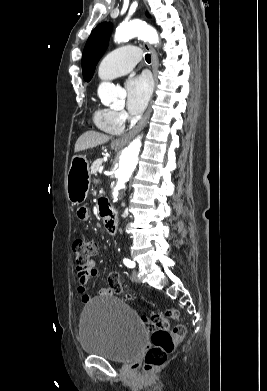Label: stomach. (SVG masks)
<instances>
[{"instance_id":"obj_1","label":"stomach","mask_w":267,"mask_h":391,"mask_svg":"<svg viewBox=\"0 0 267 391\" xmlns=\"http://www.w3.org/2000/svg\"><path fill=\"white\" fill-rule=\"evenodd\" d=\"M90 186L89 162L85 157H73L67 174L66 192L68 200L73 205L84 202Z\"/></svg>"}]
</instances>
